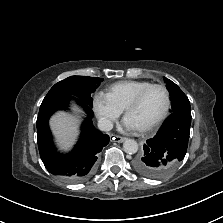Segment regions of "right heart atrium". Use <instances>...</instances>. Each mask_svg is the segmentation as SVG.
Listing matches in <instances>:
<instances>
[{
    "label": "right heart atrium",
    "mask_w": 223,
    "mask_h": 223,
    "mask_svg": "<svg viewBox=\"0 0 223 223\" xmlns=\"http://www.w3.org/2000/svg\"><path fill=\"white\" fill-rule=\"evenodd\" d=\"M93 108L97 118L104 127H110L122 112L107 97V95L103 93H98L95 95L93 100Z\"/></svg>",
    "instance_id": "d8ad5b80"
}]
</instances>
